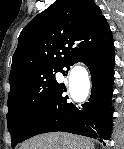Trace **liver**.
Returning a JSON list of instances; mask_svg holds the SVG:
<instances>
[{"instance_id":"1","label":"liver","mask_w":124,"mask_h":149,"mask_svg":"<svg viewBox=\"0 0 124 149\" xmlns=\"http://www.w3.org/2000/svg\"><path fill=\"white\" fill-rule=\"evenodd\" d=\"M21 149H94V144L76 135L49 133L30 139Z\"/></svg>"}]
</instances>
